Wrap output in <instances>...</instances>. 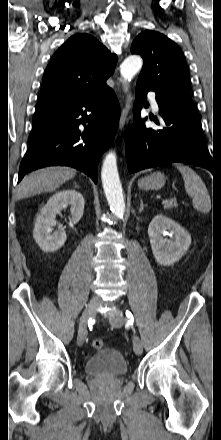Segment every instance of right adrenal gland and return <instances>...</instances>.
<instances>
[{"label":"right adrenal gland","mask_w":221,"mask_h":440,"mask_svg":"<svg viewBox=\"0 0 221 440\" xmlns=\"http://www.w3.org/2000/svg\"><path fill=\"white\" fill-rule=\"evenodd\" d=\"M75 187L79 188V186L75 183Z\"/></svg>","instance_id":"obj_1"}]
</instances>
